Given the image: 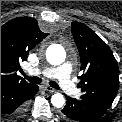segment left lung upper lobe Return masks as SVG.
Wrapping results in <instances>:
<instances>
[{"label":"left lung upper lobe","instance_id":"1","mask_svg":"<svg viewBox=\"0 0 122 122\" xmlns=\"http://www.w3.org/2000/svg\"><path fill=\"white\" fill-rule=\"evenodd\" d=\"M71 32L80 54L81 99L108 109L119 88V68L109 46L88 26L72 22Z\"/></svg>","mask_w":122,"mask_h":122}]
</instances>
